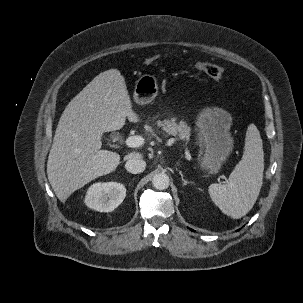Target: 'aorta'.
Returning <instances> with one entry per match:
<instances>
[{
    "label": "aorta",
    "mask_w": 303,
    "mask_h": 303,
    "mask_svg": "<svg viewBox=\"0 0 303 303\" xmlns=\"http://www.w3.org/2000/svg\"><path fill=\"white\" fill-rule=\"evenodd\" d=\"M169 177L165 173H158L153 177L152 184L158 190H165L169 187Z\"/></svg>",
    "instance_id": "1"
}]
</instances>
